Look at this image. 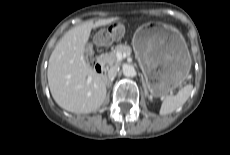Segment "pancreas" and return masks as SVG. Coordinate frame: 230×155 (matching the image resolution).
<instances>
[{
    "mask_svg": "<svg viewBox=\"0 0 230 155\" xmlns=\"http://www.w3.org/2000/svg\"><path fill=\"white\" fill-rule=\"evenodd\" d=\"M131 53V48L127 45H117L111 52L100 55L99 60L106 67H111L113 65H119L120 62L117 60L116 53Z\"/></svg>",
    "mask_w": 230,
    "mask_h": 155,
    "instance_id": "cf45deb5",
    "label": "pancreas"
}]
</instances>
